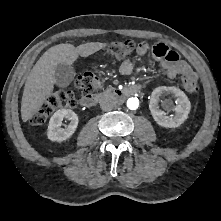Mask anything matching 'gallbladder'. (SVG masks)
Segmentation results:
<instances>
[{"instance_id":"obj_1","label":"gallbladder","mask_w":221,"mask_h":221,"mask_svg":"<svg viewBox=\"0 0 221 221\" xmlns=\"http://www.w3.org/2000/svg\"><path fill=\"white\" fill-rule=\"evenodd\" d=\"M76 72L71 65L58 63L55 69V84L58 87L68 86L74 79Z\"/></svg>"}]
</instances>
